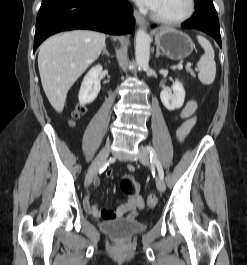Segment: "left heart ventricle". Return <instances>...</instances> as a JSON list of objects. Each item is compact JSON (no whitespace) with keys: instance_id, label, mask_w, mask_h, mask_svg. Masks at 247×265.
<instances>
[{"instance_id":"left-heart-ventricle-1","label":"left heart ventricle","mask_w":247,"mask_h":265,"mask_svg":"<svg viewBox=\"0 0 247 265\" xmlns=\"http://www.w3.org/2000/svg\"><path fill=\"white\" fill-rule=\"evenodd\" d=\"M188 7V0H157L152 9L164 17H178L182 15Z\"/></svg>"}]
</instances>
